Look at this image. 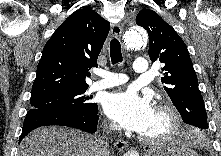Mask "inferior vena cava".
<instances>
[{
    "label": "inferior vena cava",
    "mask_w": 221,
    "mask_h": 156,
    "mask_svg": "<svg viewBox=\"0 0 221 156\" xmlns=\"http://www.w3.org/2000/svg\"><path fill=\"white\" fill-rule=\"evenodd\" d=\"M101 145H102V150L105 153L103 154V156H106V151H107L106 146H104L102 142H101Z\"/></svg>",
    "instance_id": "602c4592"
}]
</instances>
